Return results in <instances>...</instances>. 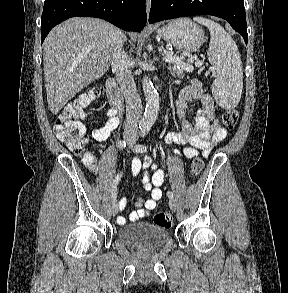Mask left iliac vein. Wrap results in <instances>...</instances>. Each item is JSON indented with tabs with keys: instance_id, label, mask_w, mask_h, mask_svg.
Listing matches in <instances>:
<instances>
[{
	"instance_id": "1",
	"label": "left iliac vein",
	"mask_w": 288,
	"mask_h": 293,
	"mask_svg": "<svg viewBox=\"0 0 288 293\" xmlns=\"http://www.w3.org/2000/svg\"><path fill=\"white\" fill-rule=\"evenodd\" d=\"M169 207L171 208V210L176 211L177 209V203L173 198L169 199Z\"/></svg>"
}]
</instances>
